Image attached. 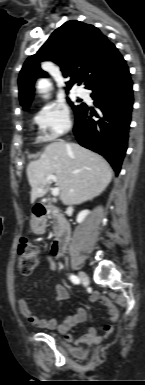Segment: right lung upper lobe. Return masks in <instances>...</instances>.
Wrapping results in <instances>:
<instances>
[{"label": "right lung upper lobe", "instance_id": "obj_1", "mask_svg": "<svg viewBox=\"0 0 145 385\" xmlns=\"http://www.w3.org/2000/svg\"><path fill=\"white\" fill-rule=\"evenodd\" d=\"M51 60L61 67L67 91L76 83L89 89L126 67V61L100 30L79 21H68L56 29L39 51L30 56L20 71L19 98L27 109L31 103L34 82L46 76L40 62Z\"/></svg>", "mask_w": 145, "mask_h": 385}]
</instances>
